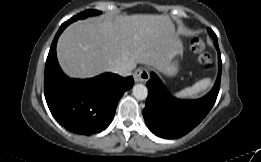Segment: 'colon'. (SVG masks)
<instances>
[{
    "instance_id": "5ec220e1",
    "label": "colon",
    "mask_w": 261,
    "mask_h": 162,
    "mask_svg": "<svg viewBox=\"0 0 261 162\" xmlns=\"http://www.w3.org/2000/svg\"><path fill=\"white\" fill-rule=\"evenodd\" d=\"M192 50L198 54L199 61L202 66L206 69H209L212 65V59L209 53L205 50V45L202 40L195 38L191 42Z\"/></svg>"
}]
</instances>
